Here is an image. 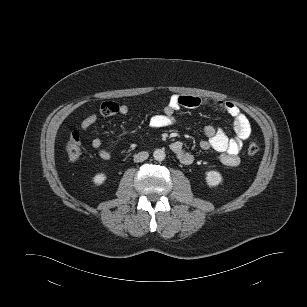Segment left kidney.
Here are the masks:
<instances>
[{
    "instance_id": "left-kidney-1",
    "label": "left kidney",
    "mask_w": 307,
    "mask_h": 307,
    "mask_svg": "<svg viewBox=\"0 0 307 307\" xmlns=\"http://www.w3.org/2000/svg\"><path fill=\"white\" fill-rule=\"evenodd\" d=\"M205 179H206L207 184L211 187L218 186L223 181L221 174L217 171L206 172Z\"/></svg>"
}]
</instances>
